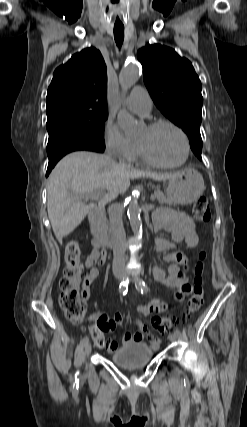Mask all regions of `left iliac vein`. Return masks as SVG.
<instances>
[{
  "label": "left iliac vein",
  "instance_id": "4c4485c4",
  "mask_svg": "<svg viewBox=\"0 0 247 427\" xmlns=\"http://www.w3.org/2000/svg\"><path fill=\"white\" fill-rule=\"evenodd\" d=\"M129 281V280H128ZM179 335H177L176 333H172L169 335V340L170 341H176Z\"/></svg>",
  "mask_w": 247,
  "mask_h": 427
}]
</instances>
